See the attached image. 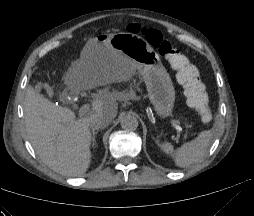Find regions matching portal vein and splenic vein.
<instances>
[{
    "mask_svg": "<svg viewBox=\"0 0 254 216\" xmlns=\"http://www.w3.org/2000/svg\"><path fill=\"white\" fill-rule=\"evenodd\" d=\"M89 110H90V105L85 104V105L81 106L79 109V112H78V116L83 117ZM170 122L175 127V129H177L178 131L183 130L179 121L172 119Z\"/></svg>",
    "mask_w": 254,
    "mask_h": 216,
    "instance_id": "1",
    "label": "portal vein and splenic vein"
}]
</instances>
